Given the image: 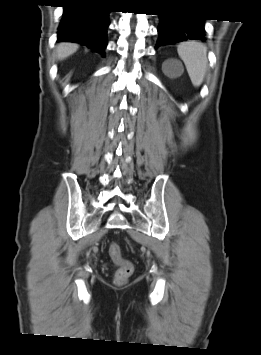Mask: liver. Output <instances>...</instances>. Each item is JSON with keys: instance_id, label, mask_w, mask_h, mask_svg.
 Listing matches in <instances>:
<instances>
[{"instance_id": "obj_1", "label": "liver", "mask_w": 261, "mask_h": 355, "mask_svg": "<svg viewBox=\"0 0 261 355\" xmlns=\"http://www.w3.org/2000/svg\"><path fill=\"white\" fill-rule=\"evenodd\" d=\"M79 48V45L74 43H60L56 48V56L58 60H63L73 53H75Z\"/></svg>"}]
</instances>
